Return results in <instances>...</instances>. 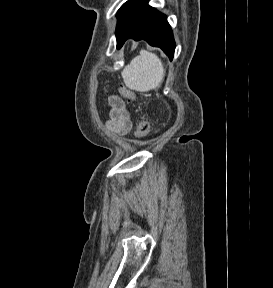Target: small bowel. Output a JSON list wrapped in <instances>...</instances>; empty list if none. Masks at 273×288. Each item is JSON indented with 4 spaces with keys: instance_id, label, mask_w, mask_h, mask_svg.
<instances>
[{
    "instance_id": "1",
    "label": "small bowel",
    "mask_w": 273,
    "mask_h": 288,
    "mask_svg": "<svg viewBox=\"0 0 273 288\" xmlns=\"http://www.w3.org/2000/svg\"><path fill=\"white\" fill-rule=\"evenodd\" d=\"M110 106L107 128L116 134L126 135L133 126L132 114L125 101L116 95L108 98Z\"/></svg>"
}]
</instances>
